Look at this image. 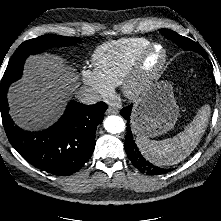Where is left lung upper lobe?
Segmentation results:
<instances>
[{
    "mask_svg": "<svg viewBox=\"0 0 221 221\" xmlns=\"http://www.w3.org/2000/svg\"><path fill=\"white\" fill-rule=\"evenodd\" d=\"M159 31L161 32V34L165 38L173 41L179 47H181L183 50L197 52L206 58V55H205L203 49L197 43L192 41L191 39L181 36V35L177 34L176 32L169 30V29H160Z\"/></svg>",
    "mask_w": 221,
    "mask_h": 221,
    "instance_id": "1",
    "label": "left lung upper lobe"
}]
</instances>
